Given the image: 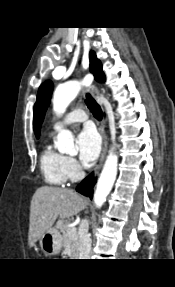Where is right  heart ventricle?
I'll return each mask as SVG.
<instances>
[{"instance_id":"e07e8e85","label":"right heart ventricle","mask_w":175,"mask_h":287,"mask_svg":"<svg viewBox=\"0 0 175 287\" xmlns=\"http://www.w3.org/2000/svg\"><path fill=\"white\" fill-rule=\"evenodd\" d=\"M65 158L50 145L43 148L40 156V169L46 183L63 185L67 181Z\"/></svg>"}]
</instances>
